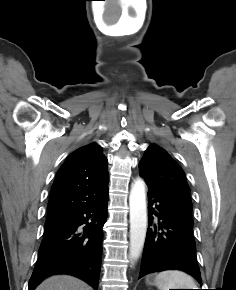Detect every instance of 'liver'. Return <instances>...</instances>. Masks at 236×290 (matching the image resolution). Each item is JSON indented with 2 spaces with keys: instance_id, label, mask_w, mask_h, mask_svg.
<instances>
[{
  "instance_id": "obj_1",
  "label": "liver",
  "mask_w": 236,
  "mask_h": 290,
  "mask_svg": "<svg viewBox=\"0 0 236 290\" xmlns=\"http://www.w3.org/2000/svg\"><path fill=\"white\" fill-rule=\"evenodd\" d=\"M35 290H92L85 282L69 275L45 279Z\"/></svg>"
}]
</instances>
